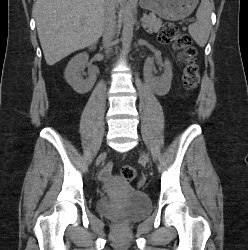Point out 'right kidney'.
Returning <instances> with one entry per match:
<instances>
[{"label":"right kidney","mask_w":248,"mask_h":250,"mask_svg":"<svg viewBox=\"0 0 248 250\" xmlns=\"http://www.w3.org/2000/svg\"><path fill=\"white\" fill-rule=\"evenodd\" d=\"M89 56L87 53H80L74 56L68 63L64 77L67 83L79 94L89 92L97 79L98 69L91 66L88 71V77L83 79L81 72L88 64Z\"/></svg>","instance_id":"obj_1"}]
</instances>
